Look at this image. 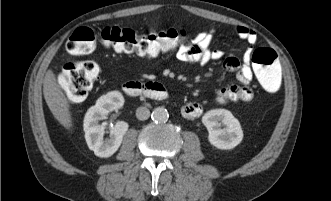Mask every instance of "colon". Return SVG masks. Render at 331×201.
<instances>
[{"label": "colon", "mask_w": 331, "mask_h": 201, "mask_svg": "<svg viewBox=\"0 0 331 201\" xmlns=\"http://www.w3.org/2000/svg\"><path fill=\"white\" fill-rule=\"evenodd\" d=\"M183 30L167 29L139 34L130 28L106 26L99 30L80 27L69 38L66 48L72 55L92 52L97 41L118 52H135L142 56H157L171 51L185 42ZM255 75L260 85L269 92L279 90L282 68L277 53L270 48H259L252 54ZM99 75V67L92 60L74 61L63 66L59 84L69 100H83Z\"/></svg>", "instance_id": "colon-1"}]
</instances>
